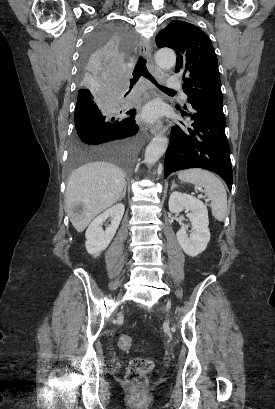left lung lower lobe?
Instances as JSON below:
<instances>
[{
	"mask_svg": "<svg viewBox=\"0 0 275 409\" xmlns=\"http://www.w3.org/2000/svg\"><path fill=\"white\" fill-rule=\"evenodd\" d=\"M178 110L194 122L192 128L185 130L173 127L165 156L164 177L182 169L204 168L218 174L231 191L233 174L223 108L190 104L186 109L188 113L181 108Z\"/></svg>",
	"mask_w": 275,
	"mask_h": 409,
	"instance_id": "1",
	"label": "left lung lower lobe"
}]
</instances>
